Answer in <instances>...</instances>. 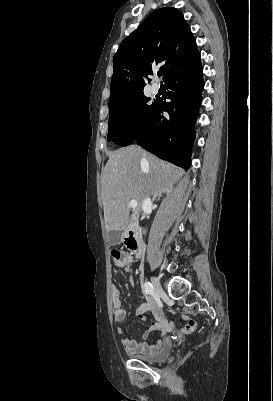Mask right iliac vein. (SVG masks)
Listing matches in <instances>:
<instances>
[{"mask_svg": "<svg viewBox=\"0 0 273 401\" xmlns=\"http://www.w3.org/2000/svg\"><path fill=\"white\" fill-rule=\"evenodd\" d=\"M151 283H152L155 295L156 296L161 295L163 293V289H162V286H161L160 281L158 280V278L152 277L151 278Z\"/></svg>", "mask_w": 273, "mask_h": 401, "instance_id": "1", "label": "right iliac vein"}]
</instances>
